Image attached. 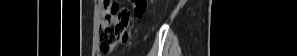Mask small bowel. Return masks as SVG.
<instances>
[{"label":"small bowel","instance_id":"1","mask_svg":"<svg viewBox=\"0 0 297 56\" xmlns=\"http://www.w3.org/2000/svg\"><path fill=\"white\" fill-rule=\"evenodd\" d=\"M128 38H131V33H121V36H119V45H128Z\"/></svg>","mask_w":297,"mask_h":56}]
</instances>
